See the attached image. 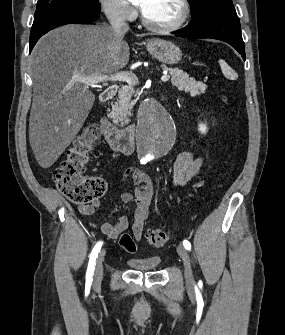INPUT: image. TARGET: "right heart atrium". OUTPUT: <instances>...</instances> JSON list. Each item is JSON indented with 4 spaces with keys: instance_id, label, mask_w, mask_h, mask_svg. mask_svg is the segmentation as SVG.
<instances>
[{
    "instance_id": "d8ad5b80",
    "label": "right heart atrium",
    "mask_w": 285,
    "mask_h": 335,
    "mask_svg": "<svg viewBox=\"0 0 285 335\" xmlns=\"http://www.w3.org/2000/svg\"><path fill=\"white\" fill-rule=\"evenodd\" d=\"M103 12L111 23H129L136 18V8L132 1H103Z\"/></svg>"
}]
</instances>
